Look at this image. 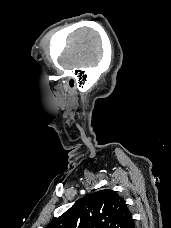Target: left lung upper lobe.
<instances>
[{
    "label": "left lung upper lobe",
    "instance_id": "obj_1",
    "mask_svg": "<svg viewBox=\"0 0 171 228\" xmlns=\"http://www.w3.org/2000/svg\"><path fill=\"white\" fill-rule=\"evenodd\" d=\"M130 217L124 199L104 189L78 200L47 228H123Z\"/></svg>",
    "mask_w": 171,
    "mask_h": 228
}]
</instances>
